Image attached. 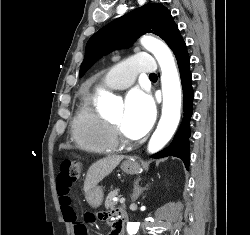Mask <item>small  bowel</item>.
Masks as SVG:
<instances>
[{
    "mask_svg": "<svg viewBox=\"0 0 250 235\" xmlns=\"http://www.w3.org/2000/svg\"><path fill=\"white\" fill-rule=\"evenodd\" d=\"M57 193H58V197H59V204H60V208H61V214L63 219L66 222H70V223H75V214H74V210L72 207V202H71V197H70V191H63L62 189L59 188V186L57 187ZM117 211L115 212H111V213H105L99 216L100 220H105L108 218H117Z\"/></svg>",
    "mask_w": 250,
    "mask_h": 235,
    "instance_id": "1",
    "label": "small bowel"
}]
</instances>
